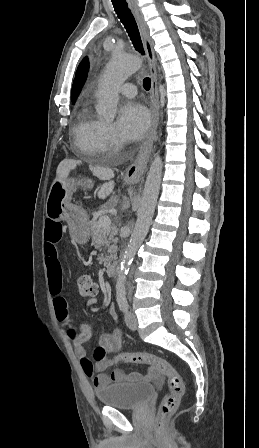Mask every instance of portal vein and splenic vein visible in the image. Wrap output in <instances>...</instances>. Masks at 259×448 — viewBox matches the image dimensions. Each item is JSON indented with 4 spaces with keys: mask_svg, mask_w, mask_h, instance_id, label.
<instances>
[{
    "mask_svg": "<svg viewBox=\"0 0 259 448\" xmlns=\"http://www.w3.org/2000/svg\"><path fill=\"white\" fill-rule=\"evenodd\" d=\"M98 224L103 230H106V228H110L111 226L110 218L108 216H100Z\"/></svg>",
    "mask_w": 259,
    "mask_h": 448,
    "instance_id": "portal-vein-and-splenic-vein-1",
    "label": "portal vein and splenic vein"
}]
</instances>
